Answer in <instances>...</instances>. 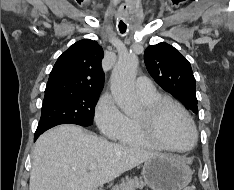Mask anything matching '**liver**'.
<instances>
[{
	"mask_svg": "<svg viewBox=\"0 0 234 190\" xmlns=\"http://www.w3.org/2000/svg\"><path fill=\"white\" fill-rule=\"evenodd\" d=\"M157 155L111 143L75 125H60L36 141L29 190H97ZM92 163L97 167L88 172Z\"/></svg>",
	"mask_w": 234,
	"mask_h": 190,
	"instance_id": "6515ba94",
	"label": "liver"
}]
</instances>
